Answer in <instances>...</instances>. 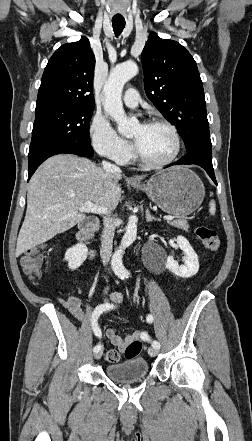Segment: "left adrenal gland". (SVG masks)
<instances>
[{"label": "left adrenal gland", "instance_id": "a2214340", "mask_svg": "<svg viewBox=\"0 0 252 441\" xmlns=\"http://www.w3.org/2000/svg\"><path fill=\"white\" fill-rule=\"evenodd\" d=\"M159 221L158 218L151 215L149 209L146 210V222Z\"/></svg>", "mask_w": 252, "mask_h": 441}]
</instances>
